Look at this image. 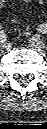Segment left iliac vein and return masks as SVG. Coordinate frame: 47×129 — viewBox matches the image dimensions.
<instances>
[{
    "mask_svg": "<svg viewBox=\"0 0 47 129\" xmlns=\"http://www.w3.org/2000/svg\"><path fill=\"white\" fill-rule=\"evenodd\" d=\"M28 42H29V45L33 49L39 51L41 54H45L44 44H43V42H42V40L40 39L39 36H33V37L29 38Z\"/></svg>",
    "mask_w": 47,
    "mask_h": 129,
    "instance_id": "4c4485c4",
    "label": "left iliac vein"
}]
</instances>
